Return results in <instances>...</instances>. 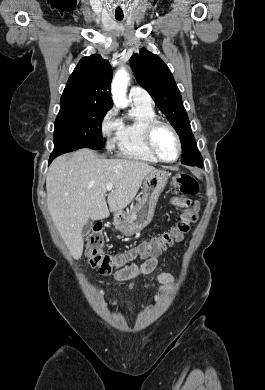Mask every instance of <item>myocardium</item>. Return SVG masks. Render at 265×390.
Returning <instances> with one entry per match:
<instances>
[{
  "label": "myocardium",
  "instance_id": "obj_1",
  "mask_svg": "<svg viewBox=\"0 0 265 390\" xmlns=\"http://www.w3.org/2000/svg\"><path fill=\"white\" fill-rule=\"evenodd\" d=\"M159 127H165L173 134L176 144H177V154L176 157L172 160L164 159L159 152L157 151L154 144V133ZM143 139L147 150L160 162L163 163H175L181 156L182 153V143L176 129L168 122L155 118L149 121L143 129Z\"/></svg>",
  "mask_w": 265,
  "mask_h": 390
}]
</instances>
